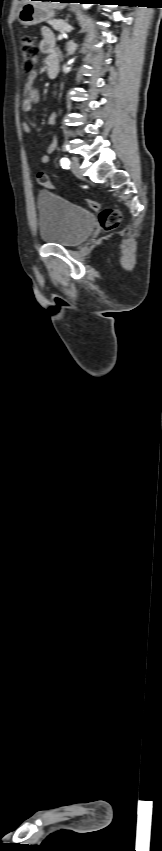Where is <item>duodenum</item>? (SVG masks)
Instances as JSON below:
<instances>
[{
	"instance_id": "obj_1",
	"label": "duodenum",
	"mask_w": 162,
	"mask_h": 851,
	"mask_svg": "<svg viewBox=\"0 0 162 851\" xmlns=\"http://www.w3.org/2000/svg\"><path fill=\"white\" fill-rule=\"evenodd\" d=\"M48 76L53 79L57 76L59 70V62L57 59L51 58L46 61Z\"/></svg>"
}]
</instances>
